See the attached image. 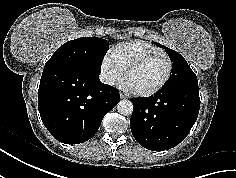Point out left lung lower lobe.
Masks as SVG:
<instances>
[{"instance_id":"1","label":"left lung lower lobe","mask_w":236,"mask_h":178,"mask_svg":"<svg viewBox=\"0 0 236 178\" xmlns=\"http://www.w3.org/2000/svg\"><path fill=\"white\" fill-rule=\"evenodd\" d=\"M134 105L130 127L146 149L164 151L190 132L200 109L198 84L165 85L151 97L130 99Z\"/></svg>"}]
</instances>
